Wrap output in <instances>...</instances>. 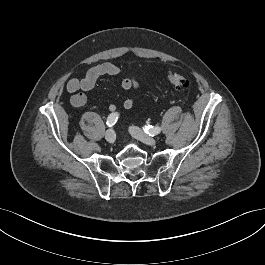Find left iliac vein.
<instances>
[{
	"mask_svg": "<svg viewBox=\"0 0 265 265\" xmlns=\"http://www.w3.org/2000/svg\"><path fill=\"white\" fill-rule=\"evenodd\" d=\"M129 131L131 133V135L142 141L143 143L150 145V146H154L157 144L156 139H154L153 137H150L148 134H146L145 132H143L140 128L135 127V126H131L129 128Z\"/></svg>",
	"mask_w": 265,
	"mask_h": 265,
	"instance_id": "1",
	"label": "left iliac vein"
}]
</instances>
